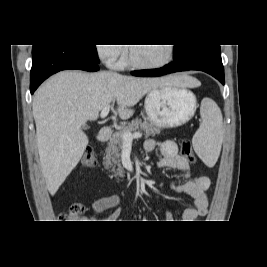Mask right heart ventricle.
<instances>
[{
    "label": "right heart ventricle",
    "mask_w": 267,
    "mask_h": 267,
    "mask_svg": "<svg viewBox=\"0 0 267 267\" xmlns=\"http://www.w3.org/2000/svg\"><path fill=\"white\" fill-rule=\"evenodd\" d=\"M126 61L124 59H122L121 61V66L125 65Z\"/></svg>",
    "instance_id": "obj_1"
}]
</instances>
